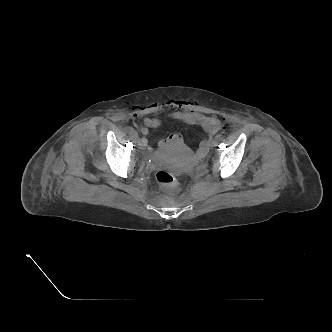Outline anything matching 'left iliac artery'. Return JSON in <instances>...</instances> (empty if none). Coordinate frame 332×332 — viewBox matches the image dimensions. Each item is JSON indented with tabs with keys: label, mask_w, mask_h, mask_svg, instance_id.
Wrapping results in <instances>:
<instances>
[{
	"label": "left iliac artery",
	"mask_w": 332,
	"mask_h": 332,
	"mask_svg": "<svg viewBox=\"0 0 332 332\" xmlns=\"http://www.w3.org/2000/svg\"><path fill=\"white\" fill-rule=\"evenodd\" d=\"M221 138H222V134H217L216 139H217L218 141H220Z\"/></svg>",
	"instance_id": "left-iliac-artery-1"
}]
</instances>
